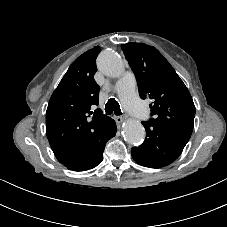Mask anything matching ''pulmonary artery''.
<instances>
[{
  "instance_id": "pulmonary-artery-1",
  "label": "pulmonary artery",
  "mask_w": 227,
  "mask_h": 227,
  "mask_svg": "<svg viewBox=\"0 0 227 227\" xmlns=\"http://www.w3.org/2000/svg\"><path fill=\"white\" fill-rule=\"evenodd\" d=\"M115 89L125 108L136 118L146 121L149 112L135 93V78L130 72L125 73L116 83Z\"/></svg>"
}]
</instances>
